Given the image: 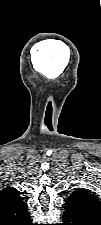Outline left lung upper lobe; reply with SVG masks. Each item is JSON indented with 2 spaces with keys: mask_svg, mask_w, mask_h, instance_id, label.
Segmentation results:
<instances>
[{
  "mask_svg": "<svg viewBox=\"0 0 101 225\" xmlns=\"http://www.w3.org/2000/svg\"><path fill=\"white\" fill-rule=\"evenodd\" d=\"M65 210L101 217V202L91 193L84 190L74 191L65 203Z\"/></svg>",
  "mask_w": 101,
  "mask_h": 225,
  "instance_id": "1",
  "label": "left lung upper lobe"
}]
</instances>
